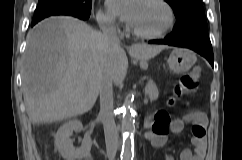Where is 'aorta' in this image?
<instances>
[{"mask_svg": "<svg viewBox=\"0 0 242 160\" xmlns=\"http://www.w3.org/2000/svg\"><path fill=\"white\" fill-rule=\"evenodd\" d=\"M121 130L123 136L121 160H133L135 119L132 102L129 98H126L124 103Z\"/></svg>", "mask_w": 242, "mask_h": 160, "instance_id": "obj_1", "label": "aorta"}]
</instances>
